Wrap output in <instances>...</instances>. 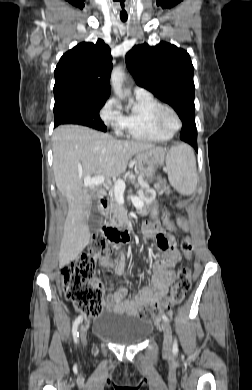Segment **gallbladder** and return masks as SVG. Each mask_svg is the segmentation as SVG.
<instances>
[{"mask_svg":"<svg viewBox=\"0 0 252 390\" xmlns=\"http://www.w3.org/2000/svg\"><path fill=\"white\" fill-rule=\"evenodd\" d=\"M89 230L91 233H94L101 229L102 227V218L98 214L97 210L94 209V213L91 214L89 220H88Z\"/></svg>","mask_w":252,"mask_h":390,"instance_id":"1","label":"gallbladder"}]
</instances>
